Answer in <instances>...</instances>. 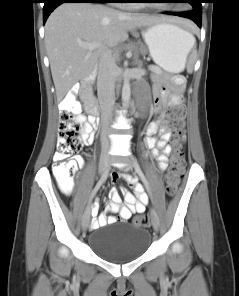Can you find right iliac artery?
<instances>
[{"instance_id":"82829eb1","label":"right iliac artery","mask_w":239,"mask_h":296,"mask_svg":"<svg viewBox=\"0 0 239 296\" xmlns=\"http://www.w3.org/2000/svg\"><path fill=\"white\" fill-rule=\"evenodd\" d=\"M108 173H109V169L105 173H103L100 180L98 181V183L94 187V189L91 193V196H88L87 202L85 203V207H84L85 211L88 209V207H89L88 205L92 202V198L96 197V193L99 190V188L101 187V185L106 181Z\"/></svg>"}]
</instances>
